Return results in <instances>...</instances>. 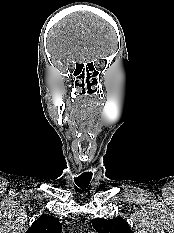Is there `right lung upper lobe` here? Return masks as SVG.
I'll list each match as a JSON object with an SVG mask.
<instances>
[{
  "mask_svg": "<svg viewBox=\"0 0 174 233\" xmlns=\"http://www.w3.org/2000/svg\"><path fill=\"white\" fill-rule=\"evenodd\" d=\"M62 224L53 216L41 215L26 233H61Z\"/></svg>",
  "mask_w": 174,
  "mask_h": 233,
  "instance_id": "1",
  "label": "right lung upper lobe"
}]
</instances>
